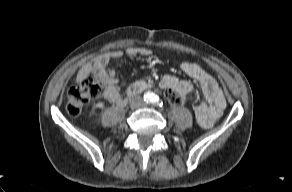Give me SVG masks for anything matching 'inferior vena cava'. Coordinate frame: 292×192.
<instances>
[{"mask_svg": "<svg viewBox=\"0 0 292 192\" xmlns=\"http://www.w3.org/2000/svg\"><path fill=\"white\" fill-rule=\"evenodd\" d=\"M130 106L132 108H139V107H142L144 106V101L141 97L139 96H136V97H133L131 100H130Z\"/></svg>", "mask_w": 292, "mask_h": 192, "instance_id": "obj_1", "label": "inferior vena cava"}]
</instances>
